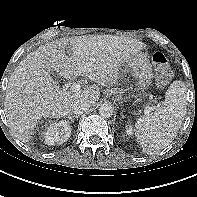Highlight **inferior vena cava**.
I'll return each mask as SVG.
<instances>
[{"instance_id": "602c4592", "label": "inferior vena cava", "mask_w": 197, "mask_h": 197, "mask_svg": "<svg viewBox=\"0 0 197 197\" xmlns=\"http://www.w3.org/2000/svg\"><path fill=\"white\" fill-rule=\"evenodd\" d=\"M91 106L90 100L86 98H78L74 100L71 104V111L74 114H82L83 112L87 111Z\"/></svg>"}]
</instances>
